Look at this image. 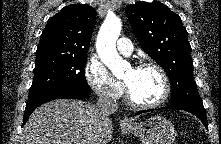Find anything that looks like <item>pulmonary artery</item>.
<instances>
[{"instance_id":"pulmonary-artery-1","label":"pulmonary artery","mask_w":221,"mask_h":144,"mask_svg":"<svg viewBox=\"0 0 221 144\" xmlns=\"http://www.w3.org/2000/svg\"><path fill=\"white\" fill-rule=\"evenodd\" d=\"M117 49L122 55L130 56L133 52V45L128 38L122 37L117 41Z\"/></svg>"}]
</instances>
